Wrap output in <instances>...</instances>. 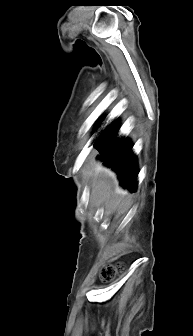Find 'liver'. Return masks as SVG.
Returning <instances> with one entry per match:
<instances>
[{
	"label": "liver",
	"mask_w": 193,
	"mask_h": 336,
	"mask_svg": "<svg viewBox=\"0 0 193 336\" xmlns=\"http://www.w3.org/2000/svg\"><path fill=\"white\" fill-rule=\"evenodd\" d=\"M84 173L90 180L91 200L97 206L119 213L130 202V194L122 189L116 174L103 164L91 158Z\"/></svg>",
	"instance_id": "6515ba94"
}]
</instances>
